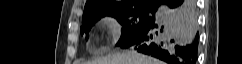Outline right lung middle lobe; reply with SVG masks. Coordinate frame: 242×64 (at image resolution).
Returning <instances> with one entry per match:
<instances>
[{"instance_id":"obj_1","label":"right lung middle lobe","mask_w":242,"mask_h":64,"mask_svg":"<svg viewBox=\"0 0 242 64\" xmlns=\"http://www.w3.org/2000/svg\"><path fill=\"white\" fill-rule=\"evenodd\" d=\"M150 12L152 16H148ZM106 15L115 17L122 25V34L117 43V46L121 48H127L133 40L144 33L155 22L157 17L156 8L151 6H139L127 10L89 15L83 17V25L81 27L82 35L84 32L87 34L86 40L92 25Z\"/></svg>"}]
</instances>
